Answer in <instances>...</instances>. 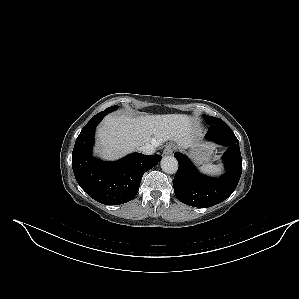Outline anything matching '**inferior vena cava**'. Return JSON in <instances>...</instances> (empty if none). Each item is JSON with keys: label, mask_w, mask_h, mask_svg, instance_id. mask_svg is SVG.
<instances>
[{"label": "inferior vena cava", "mask_w": 299, "mask_h": 299, "mask_svg": "<svg viewBox=\"0 0 299 299\" xmlns=\"http://www.w3.org/2000/svg\"><path fill=\"white\" fill-rule=\"evenodd\" d=\"M155 148L153 144H145L139 148V151L144 155H151L155 152Z\"/></svg>", "instance_id": "obj_1"}]
</instances>
